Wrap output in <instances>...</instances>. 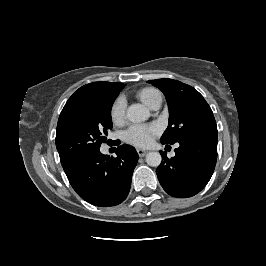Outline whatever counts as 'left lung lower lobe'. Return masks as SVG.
Instances as JSON below:
<instances>
[{"mask_svg":"<svg viewBox=\"0 0 266 266\" xmlns=\"http://www.w3.org/2000/svg\"><path fill=\"white\" fill-rule=\"evenodd\" d=\"M217 140L218 135L214 134L196 136L178 142L176 155L171 159L166 152L161 153L163 161L156 173L169 195L191 197L207 185L216 165Z\"/></svg>","mask_w":266,"mask_h":266,"instance_id":"1","label":"left lung lower lobe"}]
</instances>
